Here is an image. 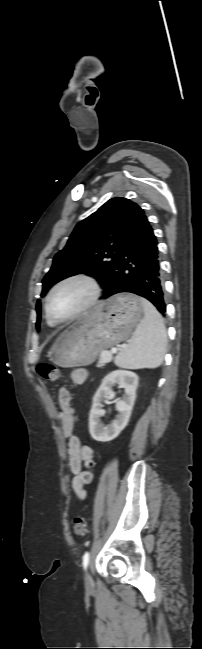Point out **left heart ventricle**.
Instances as JSON below:
<instances>
[{
    "label": "left heart ventricle",
    "mask_w": 202,
    "mask_h": 649,
    "mask_svg": "<svg viewBox=\"0 0 202 649\" xmlns=\"http://www.w3.org/2000/svg\"><path fill=\"white\" fill-rule=\"evenodd\" d=\"M90 293V287L82 281L66 283L51 297L50 311L58 318H66L87 302Z\"/></svg>",
    "instance_id": "1"
}]
</instances>
